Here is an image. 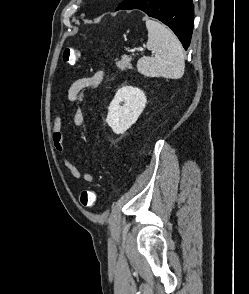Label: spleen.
Segmentation results:
<instances>
[{
    "instance_id": "3e777b00",
    "label": "spleen",
    "mask_w": 249,
    "mask_h": 294,
    "mask_svg": "<svg viewBox=\"0 0 249 294\" xmlns=\"http://www.w3.org/2000/svg\"><path fill=\"white\" fill-rule=\"evenodd\" d=\"M148 30L147 48L154 57L143 56L137 62L138 72L146 77L179 79L184 74L183 47L175 34L165 25L146 19Z\"/></svg>"
}]
</instances>
